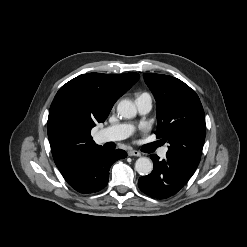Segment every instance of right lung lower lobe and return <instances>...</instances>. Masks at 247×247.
<instances>
[{
  "instance_id": "right-lung-lower-lobe-1",
  "label": "right lung lower lobe",
  "mask_w": 247,
  "mask_h": 247,
  "mask_svg": "<svg viewBox=\"0 0 247 247\" xmlns=\"http://www.w3.org/2000/svg\"><path fill=\"white\" fill-rule=\"evenodd\" d=\"M126 156L127 153L120 149L100 148L78 159L63 177L80 193L97 192L107 185L112 163Z\"/></svg>"
}]
</instances>
